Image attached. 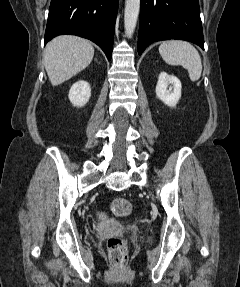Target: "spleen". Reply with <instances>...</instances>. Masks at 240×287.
Masks as SVG:
<instances>
[{
  "label": "spleen",
  "instance_id": "obj_1",
  "mask_svg": "<svg viewBox=\"0 0 240 287\" xmlns=\"http://www.w3.org/2000/svg\"><path fill=\"white\" fill-rule=\"evenodd\" d=\"M159 53L167 64L181 65L187 69L191 81H197L201 77L200 55L189 42L182 40L164 41L159 46Z\"/></svg>",
  "mask_w": 240,
  "mask_h": 287
}]
</instances>
